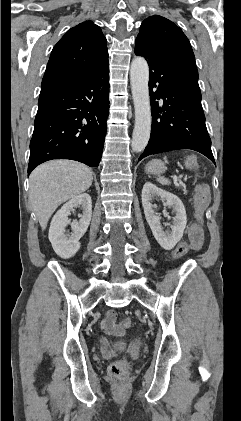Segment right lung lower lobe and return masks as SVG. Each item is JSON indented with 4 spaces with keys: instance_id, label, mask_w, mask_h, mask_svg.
I'll return each instance as SVG.
<instances>
[{
    "instance_id": "right-lung-lower-lobe-1",
    "label": "right lung lower lobe",
    "mask_w": 241,
    "mask_h": 421,
    "mask_svg": "<svg viewBox=\"0 0 241 421\" xmlns=\"http://www.w3.org/2000/svg\"><path fill=\"white\" fill-rule=\"evenodd\" d=\"M109 64L41 89L30 142L28 173L52 159L90 167L101 160L109 115Z\"/></svg>"
}]
</instances>
